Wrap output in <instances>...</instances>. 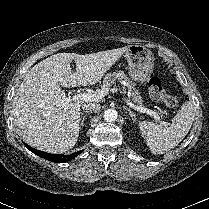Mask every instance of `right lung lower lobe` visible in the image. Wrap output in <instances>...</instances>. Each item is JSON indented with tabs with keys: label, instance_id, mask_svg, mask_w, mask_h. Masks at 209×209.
I'll return each mask as SVG.
<instances>
[{
	"label": "right lung lower lobe",
	"instance_id": "98d812e1",
	"mask_svg": "<svg viewBox=\"0 0 209 209\" xmlns=\"http://www.w3.org/2000/svg\"><path fill=\"white\" fill-rule=\"evenodd\" d=\"M25 146L33 153H35L36 155L46 159V160H49V161H52V162H55V163H63V162H67V161H70L72 160L73 158H75L76 156H78L83 150L81 151H78V152H75V153H72L70 155H62V154H50V153H47V152H42V151H39V150H36L34 148H32L31 146L25 144Z\"/></svg>",
	"mask_w": 209,
	"mask_h": 209
}]
</instances>
